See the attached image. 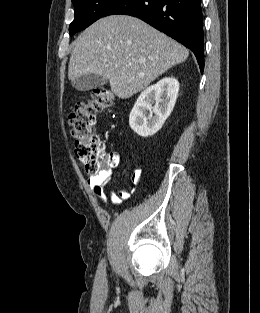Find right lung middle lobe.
<instances>
[{"instance_id": "right-lung-middle-lobe-1", "label": "right lung middle lobe", "mask_w": 260, "mask_h": 313, "mask_svg": "<svg viewBox=\"0 0 260 313\" xmlns=\"http://www.w3.org/2000/svg\"><path fill=\"white\" fill-rule=\"evenodd\" d=\"M119 0H72L74 20L70 24V35L82 31L104 14Z\"/></svg>"}]
</instances>
